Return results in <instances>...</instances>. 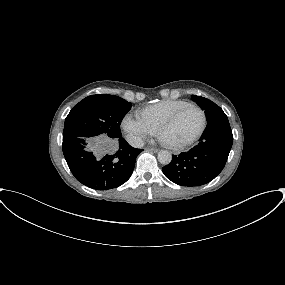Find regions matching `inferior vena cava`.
Returning <instances> with one entry per match:
<instances>
[{"label": "inferior vena cava", "mask_w": 285, "mask_h": 285, "mask_svg": "<svg viewBox=\"0 0 285 285\" xmlns=\"http://www.w3.org/2000/svg\"><path fill=\"white\" fill-rule=\"evenodd\" d=\"M127 141L134 148H141L144 146V141L140 137L128 136Z\"/></svg>", "instance_id": "inferior-vena-cava-1"}]
</instances>
